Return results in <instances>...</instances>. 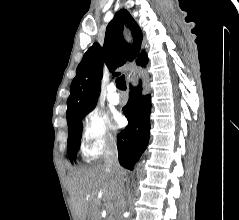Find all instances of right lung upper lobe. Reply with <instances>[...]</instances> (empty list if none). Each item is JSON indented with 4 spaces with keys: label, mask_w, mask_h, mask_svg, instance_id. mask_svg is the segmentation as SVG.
I'll return each mask as SVG.
<instances>
[{
    "label": "right lung upper lobe",
    "mask_w": 239,
    "mask_h": 220,
    "mask_svg": "<svg viewBox=\"0 0 239 220\" xmlns=\"http://www.w3.org/2000/svg\"><path fill=\"white\" fill-rule=\"evenodd\" d=\"M124 23L128 25L134 38L130 43L128 36L124 37ZM142 32L125 9L117 12L106 28L104 45L94 43L84 54L77 67L76 77L70 86V96L67 101V123L70 125L80 116L89 113L96 105L100 92L103 61L111 72L127 61H132L140 50ZM148 62L147 54L143 51L137 59L140 66ZM117 76L118 73H113Z\"/></svg>",
    "instance_id": "cb5924a9"
}]
</instances>
